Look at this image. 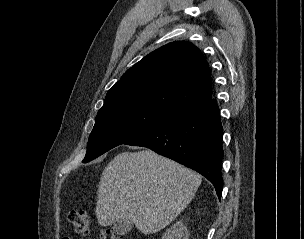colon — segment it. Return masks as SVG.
Masks as SVG:
<instances>
[{"instance_id":"1","label":"colon","mask_w":304,"mask_h":239,"mask_svg":"<svg viewBox=\"0 0 304 239\" xmlns=\"http://www.w3.org/2000/svg\"><path fill=\"white\" fill-rule=\"evenodd\" d=\"M68 220L77 233L87 235L91 230L89 214L82 209H72L68 212ZM98 239H122L109 229H103L98 234Z\"/></svg>"}]
</instances>
